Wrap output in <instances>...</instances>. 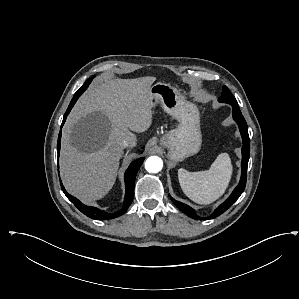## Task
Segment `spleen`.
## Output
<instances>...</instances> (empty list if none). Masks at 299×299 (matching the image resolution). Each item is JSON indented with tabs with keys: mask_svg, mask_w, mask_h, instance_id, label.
Returning <instances> with one entry per match:
<instances>
[{
	"mask_svg": "<svg viewBox=\"0 0 299 299\" xmlns=\"http://www.w3.org/2000/svg\"><path fill=\"white\" fill-rule=\"evenodd\" d=\"M233 167L227 153L217 156L209 170H178V179L185 195L198 204H210L221 197L231 180Z\"/></svg>",
	"mask_w": 299,
	"mask_h": 299,
	"instance_id": "spleen-1",
	"label": "spleen"
}]
</instances>
